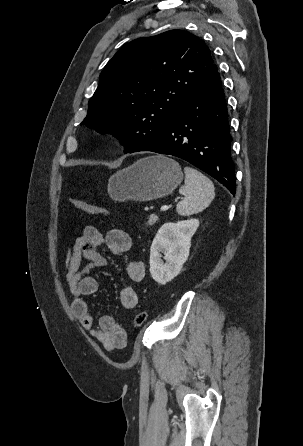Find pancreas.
I'll use <instances>...</instances> for the list:
<instances>
[{
	"label": "pancreas",
	"mask_w": 303,
	"mask_h": 446,
	"mask_svg": "<svg viewBox=\"0 0 303 446\" xmlns=\"http://www.w3.org/2000/svg\"><path fill=\"white\" fill-rule=\"evenodd\" d=\"M157 220H158V217H156V216H150V217H149V220H148V225L151 226V225L155 224Z\"/></svg>",
	"instance_id": "pancreas-1"
}]
</instances>
